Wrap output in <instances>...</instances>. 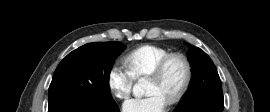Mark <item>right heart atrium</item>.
Listing matches in <instances>:
<instances>
[{
  "label": "right heart atrium",
  "instance_id": "d8ad5b80",
  "mask_svg": "<svg viewBox=\"0 0 270 112\" xmlns=\"http://www.w3.org/2000/svg\"><path fill=\"white\" fill-rule=\"evenodd\" d=\"M134 82V76L123 64L116 62L109 68L107 84L115 98L126 100L132 92Z\"/></svg>",
  "mask_w": 270,
  "mask_h": 112
}]
</instances>
